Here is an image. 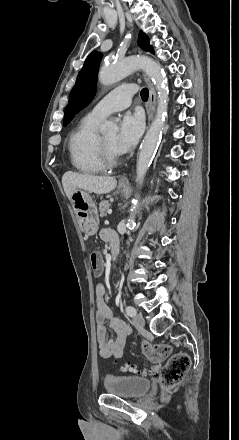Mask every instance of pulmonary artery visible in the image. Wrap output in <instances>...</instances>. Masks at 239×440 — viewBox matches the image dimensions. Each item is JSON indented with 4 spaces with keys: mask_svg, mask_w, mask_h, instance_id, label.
Wrapping results in <instances>:
<instances>
[{
    "mask_svg": "<svg viewBox=\"0 0 239 440\" xmlns=\"http://www.w3.org/2000/svg\"><path fill=\"white\" fill-rule=\"evenodd\" d=\"M137 91L136 84L119 86L98 100L88 115L96 120H102L111 112L125 109L130 105L131 98Z\"/></svg>",
    "mask_w": 239,
    "mask_h": 440,
    "instance_id": "obj_1",
    "label": "pulmonary artery"
}]
</instances>
